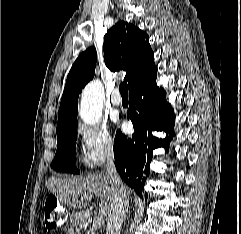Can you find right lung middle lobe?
I'll return each instance as SVG.
<instances>
[{
  "label": "right lung middle lobe",
  "mask_w": 241,
  "mask_h": 234,
  "mask_svg": "<svg viewBox=\"0 0 241 234\" xmlns=\"http://www.w3.org/2000/svg\"><path fill=\"white\" fill-rule=\"evenodd\" d=\"M77 124L57 132V151L51 167L57 171L79 173L75 167Z\"/></svg>",
  "instance_id": "obj_1"
}]
</instances>
